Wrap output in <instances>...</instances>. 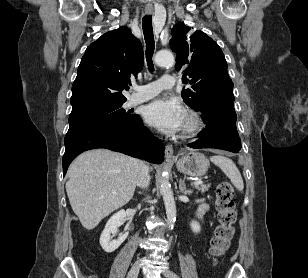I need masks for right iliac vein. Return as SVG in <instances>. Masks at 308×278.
<instances>
[{
  "label": "right iliac vein",
  "instance_id": "right-iliac-vein-1",
  "mask_svg": "<svg viewBox=\"0 0 308 278\" xmlns=\"http://www.w3.org/2000/svg\"><path fill=\"white\" fill-rule=\"evenodd\" d=\"M140 266H141V261L140 260H137L133 266L131 267L128 275H127V278H137L138 276V273H139V269H140Z\"/></svg>",
  "mask_w": 308,
  "mask_h": 278
}]
</instances>
